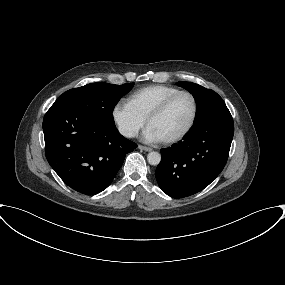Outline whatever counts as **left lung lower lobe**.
Wrapping results in <instances>:
<instances>
[{
  "label": "left lung lower lobe",
  "mask_w": 285,
  "mask_h": 285,
  "mask_svg": "<svg viewBox=\"0 0 285 285\" xmlns=\"http://www.w3.org/2000/svg\"><path fill=\"white\" fill-rule=\"evenodd\" d=\"M234 134L233 122L189 130L182 141L161 150L155 176L170 197L183 198L207 187L223 170Z\"/></svg>",
  "instance_id": "1"
}]
</instances>
